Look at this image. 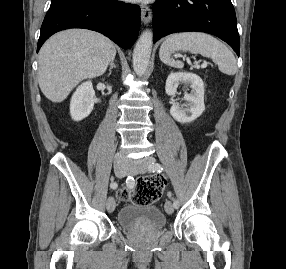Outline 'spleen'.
Returning <instances> with one entry per match:
<instances>
[{
    "label": "spleen",
    "instance_id": "1",
    "mask_svg": "<svg viewBox=\"0 0 286 269\" xmlns=\"http://www.w3.org/2000/svg\"><path fill=\"white\" fill-rule=\"evenodd\" d=\"M175 51H188L209 57L218 65L219 70L227 75L237 71L236 59L226 45L216 38L201 32L175 33L161 45L159 57L161 61L174 68H183V62L171 58Z\"/></svg>",
    "mask_w": 286,
    "mask_h": 269
}]
</instances>
